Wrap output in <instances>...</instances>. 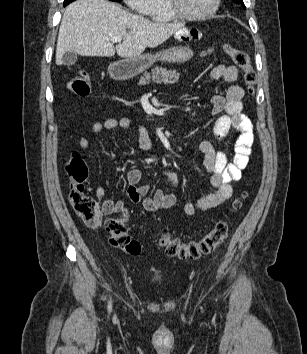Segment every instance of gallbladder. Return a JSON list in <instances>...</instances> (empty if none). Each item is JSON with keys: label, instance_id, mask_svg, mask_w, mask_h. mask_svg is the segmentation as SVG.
I'll return each mask as SVG.
<instances>
[{"label": "gallbladder", "instance_id": "1", "mask_svg": "<svg viewBox=\"0 0 307 354\" xmlns=\"http://www.w3.org/2000/svg\"><path fill=\"white\" fill-rule=\"evenodd\" d=\"M77 61V54L74 52H66L62 57V63L64 65L70 66L74 65Z\"/></svg>", "mask_w": 307, "mask_h": 354}]
</instances>
